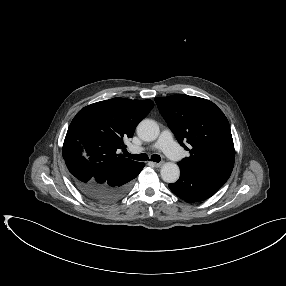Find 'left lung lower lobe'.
I'll list each match as a JSON object with an SVG mask.
<instances>
[{"label":"left lung lower lobe","instance_id":"1","mask_svg":"<svg viewBox=\"0 0 286 286\" xmlns=\"http://www.w3.org/2000/svg\"><path fill=\"white\" fill-rule=\"evenodd\" d=\"M223 185L211 178L180 168L179 180L169 184V188L187 202H200L214 195Z\"/></svg>","mask_w":286,"mask_h":286}]
</instances>
